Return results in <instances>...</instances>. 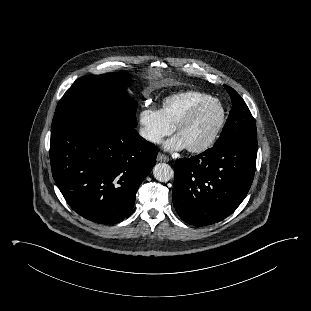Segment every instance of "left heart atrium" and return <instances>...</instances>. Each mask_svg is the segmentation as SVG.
<instances>
[{
    "mask_svg": "<svg viewBox=\"0 0 311 311\" xmlns=\"http://www.w3.org/2000/svg\"><path fill=\"white\" fill-rule=\"evenodd\" d=\"M164 147L170 151H178L186 147L179 135H176L165 142Z\"/></svg>",
    "mask_w": 311,
    "mask_h": 311,
    "instance_id": "1",
    "label": "left heart atrium"
}]
</instances>
